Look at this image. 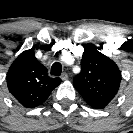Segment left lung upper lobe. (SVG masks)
Listing matches in <instances>:
<instances>
[{"label":"left lung upper lobe","mask_w":133,"mask_h":133,"mask_svg":"<svg viewBox=\"0 0 133 133\" xmlns=\"http://www.w3.org/2000/svg\"><path fill=\"white\" fill-rule=\"evenodd\" d=\"M120 82L118 66L93 45L85 46L81 72L73 80L74 87L83 99L91 107L103 109L116 96Z\"/></svg>","instance_id":"5c2ea615"}]
</instances>
